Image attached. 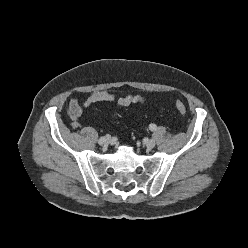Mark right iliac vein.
I'll return each mask as SVG.
<instances>
[{
	"instance_id": "right-iliac-vein-1",
	"label": "right iliac vein",
	"mask_w": 248,
	"mask_h": 248,
	"mask_svg": "<svg viewBox=\"0 0 248 248\" xmlns=\"http://www.w3.org/2000/svg\"><path fill=\"white\" fill-rule=\"evenodd\" d=\"M109 143H110V138L109 137H105V140L103 142V145L104 146H107V145H109Z\"/></svg>"
}]
</instances>
